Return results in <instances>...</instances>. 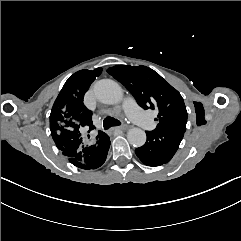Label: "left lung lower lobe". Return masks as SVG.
I'll use <instances>...</instances> for the list:
<instances>
[{
    "label": "left lung lower lobe",
    "instance_id": "obj_1",
    "mask_svg": "<svg viewBox=\"0 0 241 241\" xmlns=\"http://www.w3.org/2000/svg\"><path fill=\"white\" fill-rule=\"evenodd\" d=\"M186 130V123L179 127L156 128L146 131V143L137 148V157L148 166H160L169 162L176 153Z\"/></svg>",
    "mask_w": 241,
    "mask_h": 241
}]
</instances>
